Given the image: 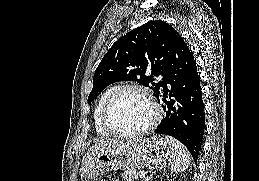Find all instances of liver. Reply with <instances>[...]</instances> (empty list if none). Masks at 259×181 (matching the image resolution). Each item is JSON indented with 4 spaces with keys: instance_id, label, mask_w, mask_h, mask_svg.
<instances>
[{
    "instance_id": "1",
    "label": "liver",
    "mask_w": 259,
    "mask_h": 181,
    "mask_svg": "<svg viewBox=\"0 0 259 181\" xmlns=\"http://www.w3.org/2000/svg\"><path fill=\"white\" fill-rule=\"evenodd\" d=\"M110 143H115V144H125L124 142H112V141H108V142H103V141H100V143L98 144V145H103V146H105V145H108V144H110ZM98 145H96V146H98Z\"/></svg>"
}]
</instances>
